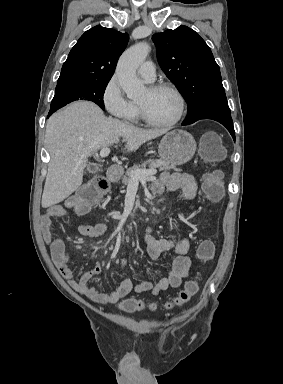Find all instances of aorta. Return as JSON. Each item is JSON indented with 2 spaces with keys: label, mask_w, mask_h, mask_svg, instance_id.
<instances>
[{
  "label": "aorta",
  "mask_w": 283,
  "mask_h": 384,
  "mask_svg": "<svg viewBox=\"0 0 283 384\" xmlns=\"http://www.w3.org/2000/svg\"><path fill=\"white\" fill-rule=\"evenodd\" d=\"M150 52L146 42L135 44L120 57L116 68L121 88L130 99L139 98L146 90L145 85L137 78L136 70Z\"/></svg>",
  "instance_id": "obj_1"
}]
</instances>
